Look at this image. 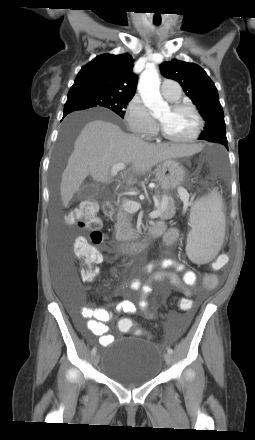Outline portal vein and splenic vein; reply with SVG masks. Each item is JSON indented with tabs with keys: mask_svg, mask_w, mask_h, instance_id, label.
Masks as SVG:
<instances>
[{
	"mask_svg": "<svg viewBox=\"0 0 255 440\" xmlns=\"http://www.w3.org/2000/svg\"><path fill=\"white\" fill-rule=\"evenodd\" d=\"M126 165L124 163H117L111 168V175L115 176L117 173L123 169H125ZM123 207L124 209L129 213H135L140 208L141 205L138 202L131 201V200H123ZM161 214L160 209H156L150 213V218H157Z\"/></svg>",
	"mask_w": 255,
	"mask_h": 440,
	"instance_id": "1",
	"label": "portal vein and splenic vein"
}]
</instances>
